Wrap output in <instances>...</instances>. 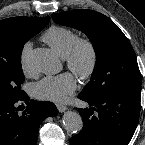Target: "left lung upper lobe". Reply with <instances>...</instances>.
Wrapping results in <instances>:
<instances>
[{"instance_id":"left-lung-upper-lobe-1","label":"left lung upper lobe","mask_w":145,"mask_h":145,"mask_svg":"<svg viewBox=\"0 0 145 145\" xmlns=\"http://www.w3.org/2000/svg\"><path fill=\"white\" fill-rule=\"evenodd\" d=\"M61 25L84 32L93 43L96 64L81 93L104 96L113 92L141 89V74L135 52L120 28L105 15L93 10L53 13Z\"/></svg>"}]
</instances>
